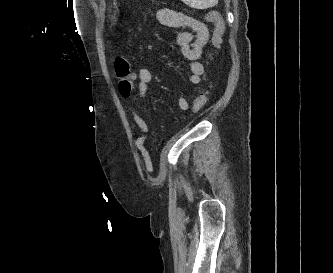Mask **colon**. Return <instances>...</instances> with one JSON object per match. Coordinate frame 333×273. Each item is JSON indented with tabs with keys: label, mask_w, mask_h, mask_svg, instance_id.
<instances>
[{
	"label": "colon",
	"mask_w": 333,
	"mask_h": 273,
	"mask_svg": "<svg viewBox=\"0 0 333 273\" xmlns=\"http://www.w3.org/2000/svg\"><path fill=\"white\" fill-rule=\"evenodd\" d=\"M206 20L213 24L212 43L218 45L224 34L225 24L218 12L211 11L206 14ZM117 85L122 97L128 98L131 95L135 75L131 71L130 63L125 58H117L114 63ZM208 90H203L194 99L191 105V112L200 111L208 100Z\"/></svg>",
	"instance_id": "obj_1"
}]
</instances>
